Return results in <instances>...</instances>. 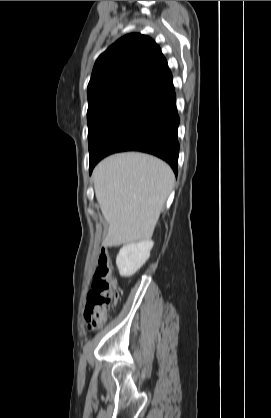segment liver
Returning <instances> with one entry per match:
<instances>
[{
  "label": "liver",
  "mask_w": 271,
  "mask_h": 418,
  "mask_svg": "<svg viewBox=\"0 0 271 418\" xmlns=\"http://www.w3.org/2000/svg\"><path fill=\"white\" fill-rule=\"evenodd\" d=\"M175 177L162 160L142 153L111 155L94 169L97 201L109 224L104 247L149 240Z\"/></svg>",
  "instance_id": "6515ba94"
}]
</instances>
